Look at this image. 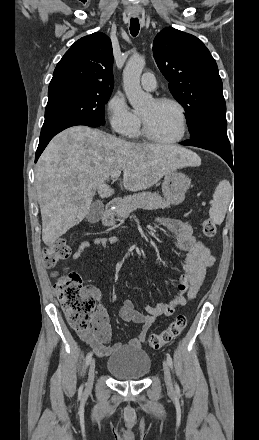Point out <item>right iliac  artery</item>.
Returning <instances> with one entry per match:
<instances>
[{
    "instance_id": "1",
    "label": "right iliac artery",
    "mask_w": 259,
    "mask_h": 440,
    "mask_svg": "<svg viewBox=\"0 0 259 440\" xmlns=\"http://www.w3.org/2000/svg\"><path fill=\"white\" fill-rule=\"evenodd\" d=\"M91 358H92V352H89L87 357H86V365H88L90 363Z\"/></svg>"
}]
</instances>
